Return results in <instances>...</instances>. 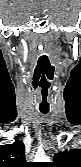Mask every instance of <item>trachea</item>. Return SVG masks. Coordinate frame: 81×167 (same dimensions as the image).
Masks as SVG:
<instances>
[{
	"label": "trachea",
	"instance_id": "obj_1",
	"mask_svg": "<svg viewBox=\"0 0 81 167\" xmlns=\"http://www.w3.org/2000/svg\"><path fill=\"white\" fill-rule=\"evenodd\" d=\"M41 113H43V114H47V113H48V111H41Z\"/></svg>",
	"mask_w": 81,
	"mask_h": 167
}]
</instances>
